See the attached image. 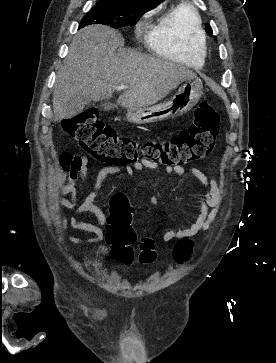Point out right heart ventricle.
<instances>
[{
    "label": "right heart ventricle",
    "instance_id": "1",
    "mask_svg": "<svg viewBox=\"0 0 276 363\" xmlns=\"http://www.w3.org/2000/svg\"><path fill=\"white\" fill-rule=\"evenodd\" d=\"M148 43L158 56L201 68L205 62V37L199 14L190 6L180 4L159 19L151 30Z\"/></svg>",
    "mask_w": 276,
    "mask_h": 363
}]
</instances>
